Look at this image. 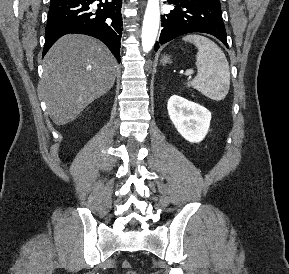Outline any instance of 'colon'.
I'll return each instance as SVG.
<instances>
[{
    "instance_id": "1",
    "label": "colon",
    "mask_w": 289,
    "mask_h": 274,
    "mask_svg": "<svg viewBox=\"0 0 289 274\" xmlns=\"http://www.w3.org/2000/svg\"><path fill=\"white\" fill-rule=\"evenodd\" d=\"M122 268L126 270V274H137L133 269L129 261H124L122 263Z\"/></svg>"
}]
</instances>
